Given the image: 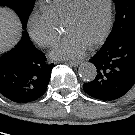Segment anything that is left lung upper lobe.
I'll use <instances>...</instances> for the list:
<instances>
[{"label": "left lung upper lobe", "mask_w": 135, "mask_h": 135, "mask_svg": "<svg viewBox=\"0 0 135 135\" xmlns=\"http://www.w3.org/2000/svg\"><path fill=\"white\" fill-rule=\"evenodd\" d=\"M116 19L107 41L129 34L135 28V0H114Z\"/></svg>", "instance_id": "obj_1"}]
</instances>
